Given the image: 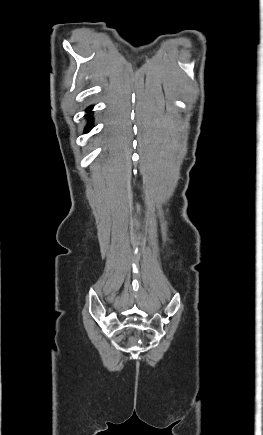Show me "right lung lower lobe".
<instances>
[{
    "label": "right lung lower lobe",
    "instance_id": "1",
    "mask_svg": "<svg viewBox=\"0 0 263 435\" xmlns=\"http://www.w3.org/2000/svg\"><path fill=\"white\" fill-rule=\"evenodd\" d=\"M90 109H91V108H89L88 111H90ZM91 126H92V121H89L88 126H87L86 129H85L86 132H88V131L90 130Z\"/></svg>",
    "mask_w": 263,
    "mask_h": 435
}]
</instances>
